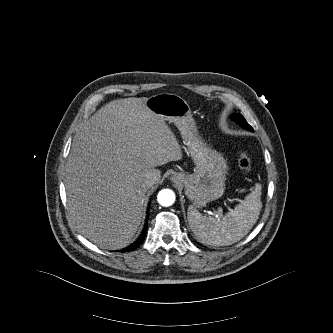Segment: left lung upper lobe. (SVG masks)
I'll list each match as a JSON object with an SVG mask.
<instances>
[{
  "label": "left lung upper lobe",
  "mask_w": 333,
  "mask_h": 333,
  "mask_svg": "<svg viewBox=\"0 0 333 333\" xmlns=\"http://www.w3.org/2000/svg\"><path fill=\"white\" fill-rule=\"evenodd\" d=\"M231 119L233 121H235L237 124H239L241 127L248 129V130H252V127L246 122V120L244 119V117L240 114H233L231 116Z\"/></svg>",
  "instance_id": "5c2ea615"
}]
</instances>
